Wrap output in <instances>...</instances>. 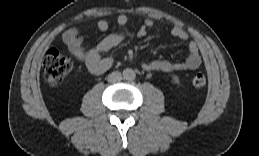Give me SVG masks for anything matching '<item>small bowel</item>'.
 I'll return each mask as SVG.
<instances>
[{
  "label": "small bowel",
  "instance_id": "obj_1",
  "mask_svg": "<svg viewBox=\"0 0 259 156\" xmlns=\"http://www.w3.org/2000/svg\"><path fill=\"white\" fill-rule=\"evenodd\" d=\"M129 18L126 14H121L117 18V23L124 26L128 23ZM154 21L150 18L144 20L139 35L144 36L152 28ZM100 31H107L109 23L106 20H100L97 24ZM173 37L187 41L188 33L181 27H173L171 30ZM62 40L67 46L69 52L80 62L84 63L88 70L94 74H102L107 71L113 64L110 57L103 56L104 52L116 47L124 40L122 33H111L106 35L97 45L89 49L83 47V38L78 28H70L62 35ZM189 55L184 61L171 62L168 60H152L142 64V68L149 72H177L185 70H195L202 62L199 45L196 41L189 43Z\"/></svg>",
  "mask_w": 259,
  "mask_h": 156
}]
</instances>
